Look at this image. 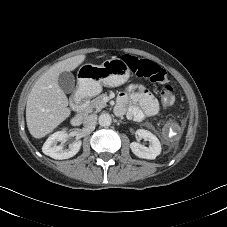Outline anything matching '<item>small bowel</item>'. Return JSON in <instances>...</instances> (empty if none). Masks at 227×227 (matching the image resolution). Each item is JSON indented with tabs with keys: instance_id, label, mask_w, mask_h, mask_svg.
I'll return each instance as SVG.
<instances>
[{
	"instance_id": "obj_1",
	"label": "small bowel",
	"mask_w": 227,
	"mask_h": 227,
	"mask_svg": "<svg viewBox=\"0 0 227 227\" xmlns=\"http://www.w3.org/2000/svg\"><path fill=\"white\" fill-rule=\"evenodd\" d=\"M127 110V115L134 120H142L146 116H154L160 106L153 95L142 84H131L118 96L117 113Z\"/></svg>"
}]
</instances>
